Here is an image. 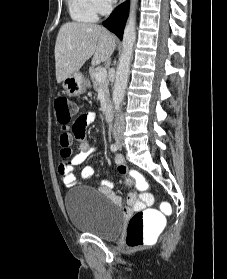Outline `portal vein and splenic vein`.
<instances>
[{
    "instance_id": "obj_1",
    "label": "portal vein and splenic vein",
    "mask_w": 227,
    "mask_h": 279,
    "mask_svg": "<svg viewBox=\"0 0 227 279\" xmlns=\"http://www.w3.org/2000/svg\"><path fill=\"white\" fill-rule=\"evenodd\" d=\"M107 78V70L105 68H100L96 72V79L98 81H103Z\"/></svg>"
}]
</instances>
